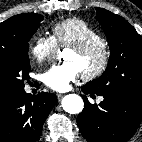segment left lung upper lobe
I'll use <instances>...</instances> for the list:
<instances>
[{"instance_id":"obj_1","label":"left lung upper lobe","mask_w":142,"mask_h":142,"mask_svg":"<svg viewBox=\"0 0 142 142\" xmlns=\"http://www.w3.org/2000/svg\"><path fill=\"white\" fill-rule=\"evenodd\" d=\"M96 12L107 36L110 59L102 76L85 86L96 94L142 99V37L121 16L102 8Z\"/></svg>"}]
</instances>
